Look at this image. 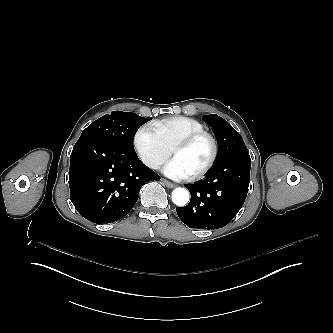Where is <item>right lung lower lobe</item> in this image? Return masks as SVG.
I'll list each match as a JSON object with an SVG mask.
<instances>
[{
  "label": "right lung lower lobe",
  "mask_w": 333,
  "mask_h": 333,
  "mask_svg": "<svg viewBox=\"0 0 333 333\" xmlns=\"http://www.w3.org/2000/svg\"><path fill=\"white\" fill-rule=\"evenodd\" d=\"M160 180L137 154L93 136L79 138L70 157V199L84 218L115 222L133 208L143 184Z\"/></svg>",
  "instance_id": "obj_1"
}]
</instances>
